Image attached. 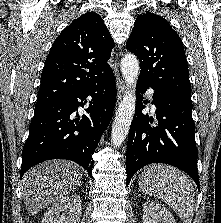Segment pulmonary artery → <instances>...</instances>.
<instances>
[{"mask_svg":"<svg viewBox=\"0 0 221 223\" xmlns=\"http://www.w3.org/2000/svg\"><path fill=\"white\" fill-rule=\"evenodd\" d=\"M148 93H149L150 95H152L153 91L150 89V90L148 91Z\"/></svg>","mask_w":221,"mask_h":223,"instance_id":"e3ab8cb5","label":"pulmonary artery"}]
</instances>
